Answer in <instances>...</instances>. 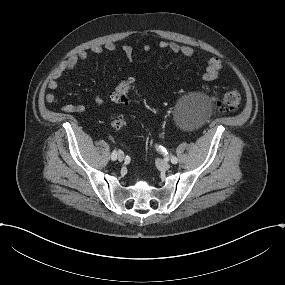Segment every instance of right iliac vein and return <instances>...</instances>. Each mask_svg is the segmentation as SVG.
Wrapping results in <instances>:
<instances>
[{"instance_id": "right-iliac-vein-1", "label": "right iliac vein", "mask_w": 285, "mask_h": 285, "mask_svg": "<svg viewBox=\"0 0 285 285\" xmlns=\"http://www.w3.org/2000/svg\"><path fill=\"white\" fill-rule=\"evenodd\" d=\"M118 161H123L124 160V154L122 152L118 153V157H117Z\"/></svg>"}]
</instances>
